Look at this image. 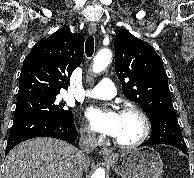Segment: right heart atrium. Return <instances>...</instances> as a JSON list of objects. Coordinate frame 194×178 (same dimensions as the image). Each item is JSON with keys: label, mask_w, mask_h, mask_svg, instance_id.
Here are the masks:
<instances>
[{"label": "right heart atrium", "mask_w": 194, "mask_h": 178, "mask_svg": "<svg viewBox=\"0 0 194 178\" xmlns=\"http://www.w3.org/2000/svg\"><path fill=\"white\" fill-rule=\"evenodd\" d=\"M80 135L81 137L88 142H93L96 140L94 132L91 130V128L87 125H84L80 128Z\"/></svg>", "instance_id": "d8ad5b80"}]
</instances>
